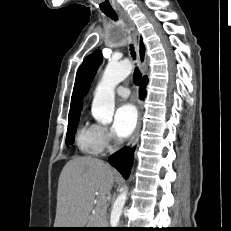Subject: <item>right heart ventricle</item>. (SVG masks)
<instances>
[{"mask_svg":"<svg viewBox=\"0 0 231 231\" xmlns=\"http://www.w3.org/2000/svg\"><path fill=\"white\" fill-rule=\"evenodd\" d=\"M78 149L85 155L97 156L104 150L99 137V127L95 124L84 123L76 134Z\"/></svg>","mask_w":231,"mask_h":231,"instance_id":"right-heart-ventricle-1","label":"right heart ventricle"}]
</instances>
